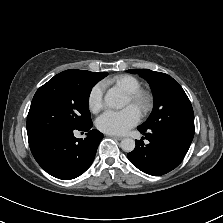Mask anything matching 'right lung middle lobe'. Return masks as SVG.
<instances>
[{"instance_id":"1","label":"right lung middle lobe","mask_w":223,"mask_h":223,"mask_svg":"<svg viewBox=\"0 0 223 223\" xmlns=\"http://www.w3.org/2000/svg\"><path fill=\"white\" fill-rule=\"evenodd\" d=\"M99 80L91 73H60L41 86L28 113V136L90 124L89 95Z\"/></svg>"}]
</instances>
